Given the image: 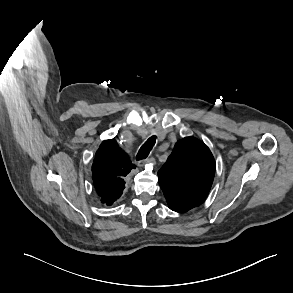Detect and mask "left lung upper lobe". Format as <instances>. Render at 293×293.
Here are the masks:
<instances>
[{"label": "left lung upper lobe", "mask_w": 293, "mask_h": 293, "mask_svg": "<svg viewBox=\"0 0 293 293\" xmlns=\"http://www.w3.org/2000/svg\"><path fill=\"white\" fill-rule=\"evenodd\" d=\"M209 148L193 137L179 140L158 171V181L169 206L189 211L206 199L215 174Z\"/></svg>", "instance_id": "left-lung-upper-lobe-1"}]
</instances>
